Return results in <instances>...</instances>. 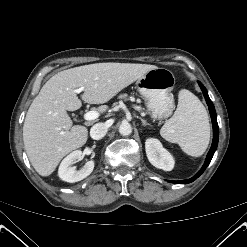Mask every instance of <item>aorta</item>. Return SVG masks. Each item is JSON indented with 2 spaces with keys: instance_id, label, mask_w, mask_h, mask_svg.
Wrapping results in <instances>:
<instances>
[{
  "instance_id": "1",
  "label": "aorta",
  "mask_w": 247,
  "mask_h": 247,
  "mask_svg": "<svg viewBox=\"0 0 247 247\" xmlns=\"http://www.w3.org/2000/svg\"><path fill=\"white\" fill-rule=\"evenodd\" d=\"M119 133L123 136L130 135L132 133L131 124L127 121L122 122L119 126Z\"/></svg>"
}]
</instances>
